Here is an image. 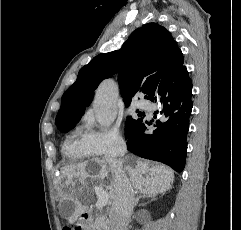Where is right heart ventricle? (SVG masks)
<instances>
[{"label":"right heart ventricle","instance_id":"1","mask_svg":"<svg viewBox=\"0 0 241 230\" xmlns=\"http://www.w3.org/2000/svg\"><path fill=\"white\" fill-rule=\"evenodd\" d=\"M63 152L71 161H80L94 155L87 145L85 135L79 131H75L67 138Z\"/></svg>","mask_w":241,"mask_h":230}]
</instances>
